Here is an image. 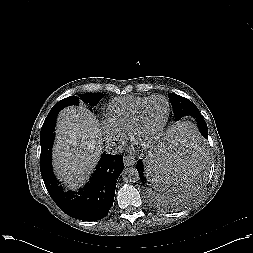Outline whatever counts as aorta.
<instances>
[{
	"label": "aorta",
	"mask_w": 253,
	"mask_h": 253,
	"mask_svg": "<svg viewBox=\"0 0 253 253\" xmlns=\"http://www.w3.org/2000/svg\"><path fill=\"white\" fill-rule=\"evenodd\" d=\"M122 179L126 183H135L139 180V173L136 168H125L122 172Z\"/></svg>",
	"instance_id": "762f6f07"
}]
</instances>
